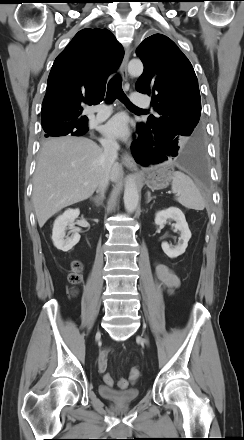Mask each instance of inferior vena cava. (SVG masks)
<instances>
[{
	"label": "inferior vena cava",
	"mask_w": 244,
	"mask_h": 440,
	"mask_svg": "<svg viewBox=\"0 0 244 440\" xmlns=\"http://www.w3.org/2000/svg\"><path fill=\"white\" fill-rule=\"evenodd\" d=\"M103 146V173L98 183L97 192L104 195L110 180V171L118 157L119 144L114 139H106Z\"/></svg>",
	"instance_id": "inferior-vena-cava-1"
}]
</instances>
